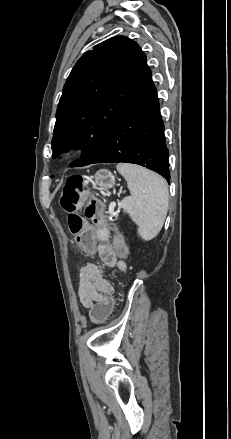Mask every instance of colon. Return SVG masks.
Masks as SVG:
<instances>
[{
    "mask_svg": "<svg viewBox=\"0 0 231 439\" xmlns=\"http://www.w3.org/2000/svg\"><path fill=\"white\" fill-rule=\"evenodd\" d=\"M83 182V177L80 175L70 177L63 188L60 204L68 213L67 223L70 233L83 250L85 261L91 262L97 256L93 244L94 231L78 211L83 208L85 217L98 227L111 226L112 222L105 216L101 204L96 199H91L86 204L83 203ZM116 244L119 253L122 256L125 255V245L119 234ZM116 305L117 295L115 293L109 292L105 294V297H98L97 302L89 309L91 322L105 323L108 321L116 310Z\"/></svg>",
    "mask_w": 231,
    "mask_h": 439,
    "instance_id": "5ec220e1",
    "label": "colon"
}]
</instances>
